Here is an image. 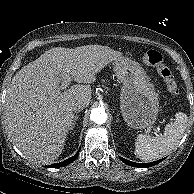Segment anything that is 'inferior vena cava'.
<instances>
[{"instance_id": "602c4592", "label": "inferior vena cava", "mask_w": 194, "mask_h": 194, "mask_svg": "<svg viewBox=\"0 0 194 194\" xmlns=\"http://www.w3.org/2000/svg\"><path fill=\"white\" fill-rule=\"evenodd\" d=\"M84 107H85V104L83 102H76L73 105L72 110L80 112L84 109Z\"/></svg>"}]
</instances>
